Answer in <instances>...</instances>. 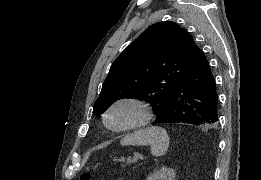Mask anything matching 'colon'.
I'll list each match as a JSON object with an SVG mask.
<instances>
[{"mask_svg":"<svg viewBox=\"0 0 261 180\" xmlns=\"http://www.w3.org/2000/svg\"><path fill=\"white\" fill-rule=\"evenodd\" d=\"M79 179L80 180H90L91 177H90V174H88V173H82V174H80Z\"/></svg>","mask_w":261,"mask_h":180,"instance_id":"1","label":"colon"}]
</instances>
